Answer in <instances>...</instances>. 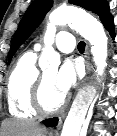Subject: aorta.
<instances>
[{
    "instance_id": "1",
    "label": "aorta",
    "mask_w": 117,
    "mask_h": 136,
    "mask_svg": "<svg viewBox=\"0 0 117 136\" xmlns=\"http://www.w3.org/2000/svg\"><path fill=\"white\" fill-rule=\"evenodd\" d=\"M70 24L91 45V54L96 65L97 75L102 76L107 66L108 37L103 25L94 17L75 8H57L49 15V22L44 36L45 47L39 59L42 69H57L60 56L52 47L56 26ZM95 90L92 87L82 89L76 96L68 116L64 122L61 136H80L81 127L85 122L88 109L93 103Z\"/></svg>"
}]
</instances>
